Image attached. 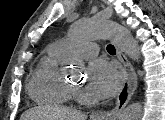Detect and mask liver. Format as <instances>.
Masks as SVG:
<instances>
[{
	"label": "liver",
	"mask_w": 165,
	"mask_h": 120,
	"mask_svg": "<svg viewBox=\"0 0 165 120\" xmlns=\"http://www.w3.org/2000/svg\"><path fill=\"white\" fill-rule=\"evenodd\" d=\"M47 120H85V115L81 112L69 109V108H51L46 110L42 107H35L21 115V120H36L45 119ZM55 118V119H52Z\"/></svg>",
	"instance_id": "6515ba94"
}]
</instances>
